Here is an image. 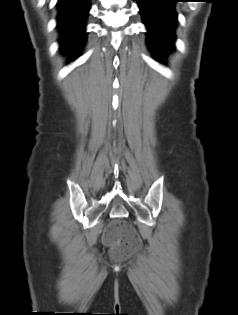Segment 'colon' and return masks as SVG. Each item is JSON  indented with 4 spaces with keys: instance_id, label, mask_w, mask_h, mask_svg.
Masks as SVG:
<instances>
[{
    "instance_id": "5ec220e1",
    "label": "colon",
    "mask_w": 238,
    "mask_h": 315,
    "mask_svg": "<svg viewBox=\"0 0 238 315\" xmlns=\"http://www.w3.org/2000/svg\"><path fill=\"white\" fill-rule=\"evenodd\" d=\"M105 242L116 247L120 255L133 252L140 244L136 230L127 222L116 220L107 228Z\"/></svg>"
}]
</instances>
